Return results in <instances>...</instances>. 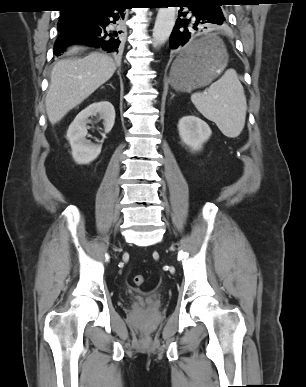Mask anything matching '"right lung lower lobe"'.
<instances>
[{"instance_id": "obj_1", "label": "right lung lower lobe", "mask_w": 306, "mask_h": 387, "mask_svg": "<svg viewBox=\"0 0 306 387\" xmlns=\"http://www.w3.org/2000/svg\"><path fill=\"white\" fill-rule=\"evenodd\" d=\"M125 9L126 4L122 1L79 8L81 21L59 30L60 34L54 44V54L59 56L64 48L73 43L118 53L121 48V21L124 19Z\"/></svg>"}]
</instances>
